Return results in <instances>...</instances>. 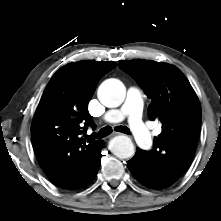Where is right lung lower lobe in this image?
Masks as SVG:
<instances>
[{
	"label": "right lung lower lobe",
	"mask_w": 221,
	"mask_h": 221,
	"mask_svg": "<svg viewBox=\"0 0 221 221\" xmlns=\"http://www.w3.org/2000/svg\"><path fill=\"white\" fill-rule=\"evenodd\" d=\"M102 147H103V144H102L101 148L97 152L96 162L93 165L92 169L90 170L88 176L85 178V180L76 189L82 188V187L88 185L89 183H91V181L96 176V174H97V172L99 170V167H100V159H101V149H102Z\"/></svg>",
	"instance_id": "1"
}]
</instances>
